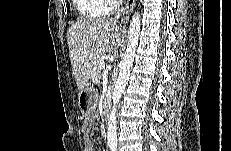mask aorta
<instances>
[{"mask_svg": "<svg viewBox=\"0 0 231 151\" xmlns=\"http://www.w3.org/2000/svg\"><path fill=\"white\" fill-rule=\"evenodd\" d=\"M140 28V14L139 12H136L130 22L128 44L122 61L119 65V76L113 90V107L110 112L107 128V140L109 145H115L117 142L116 106L120 102L121 96L128 83L130 72L134 64L135 53L139 42Z\"/></svg>", "mask_w": 231, "mask_h": 151, "instance_id": "aorta-1", "label": "aorta"}]
</instances>
